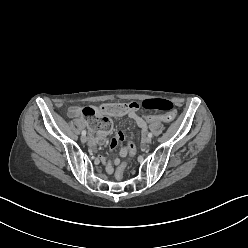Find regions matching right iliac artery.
Here are the masks:
<instances>
[{
    "mask_svg": "<svg viewBox=\"0 0 248 248\" xmlns=\"http://www.w3.org/2000/svg\"><path fill=\"white\" fill-rule=\"evenodd\" d=\"M82 135H83V136L86 135V131H85V130L82 131Z\"/></svg>",
    "mask_w": 248,
    "mask_h": 248,
    "instance_id": "obj_1",
    "label": "right iliac artery"
}]
</instances>
